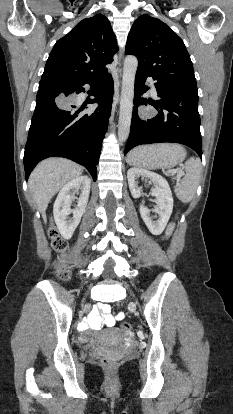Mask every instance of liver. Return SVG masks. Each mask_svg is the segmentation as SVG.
Returning <instances> with one entry per match:
<instances>
[{
    "mask_svg": "<svg viewBox=\"0 0 233 414\" xmlns=\"http://www.w3.org/2000/svg\"><path fill=\"white\" fill-rule=\"evenodd\" d=\"M82 172V166L65 158H49L36 166L29 177L28 186L43 217L52 197Z\"/></svg>",
    "mask_w": 233,
    "mask_h": 414,
    "instance_id": "liver-1",
    "label": "liver"
}]
</instances>
